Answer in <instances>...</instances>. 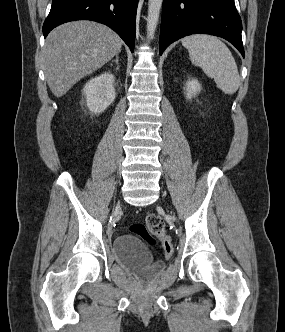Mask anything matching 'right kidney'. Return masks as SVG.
<instances>
[{
	"label": "right kidney",
	"instance_id": "ca27d5eb",
	"mask_svg": "<svg viewBox=\"0 0 285 332\" xmlns=\"http://www.w3.org/2000/svg\"><path fill=\"white\" fill-rule=\"evenodd\" d=\"M114 76L105 72L90 79L83 88L87 107L91 112L100 114L114 102L116 93L113 87Z\"/></svg>",
	"mask_w": 285,
	"mask_h": 332
}]
</instances>
